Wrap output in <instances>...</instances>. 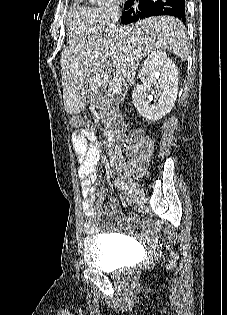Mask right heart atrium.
<instances>
[{"instance_id": "1", "label": "right heart atrium", "mask_w": 227, "mask_h": 315, "mask_svg": "<svg viewBox=\"0 0 227 315\" xmlns=\"http://www.w3.org/2000/svg\"><path fill=\"white\" fill-rule=\"evenodd\" d=\"M120 6L117 0H105L93 8L94 16L100 30L115 23L120 15Z\"/></svg>"}]
</instances>
